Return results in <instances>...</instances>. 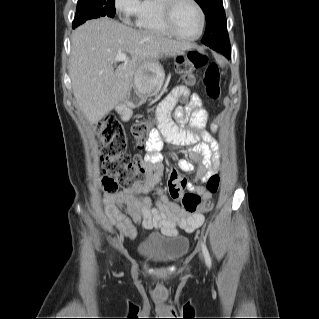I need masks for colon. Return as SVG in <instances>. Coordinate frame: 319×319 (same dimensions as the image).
Returning a JSON list of instances; mask_svg holds the SVG:
<instances>
[{
    "label": "colon",
    "mask_w": 319,
    "mask_h": 319,
    "mask_svg": "<svg viewBox=\"0 0 319 319\" xmlns=\"http://www.w3.org/2000/svg\"><path fill=\"white\" fill-rule=\"evenodd\" d=\"M177 69L184 82L194 83L193 70L207 66L203 87L208 98L216 100L220 95V69L215 62L208 63L203 54L195 50L188 51L177 59ZM152 120H145L133 126L132 134L138 145L148 142V134L153 131ZM101 146V160L103 164V185L108 193L116 191L119 187H130L137 180H142L146 168L141 157L132 158L126 151L127 133L123 125L117 120H110L97 126L96 129ZM160 149L158 143L153 144ZM188 180L177 173L168 179V191L172 198L179 201L188 212H195L201 205V197L195 191H184ZM220 179L214 175L208 179L205 186L209 193L217 194ZM211 202L203 204L204 210L211 208Z\"/></svg>",
    "instance_id": "colon-1"
}]
</instances>
